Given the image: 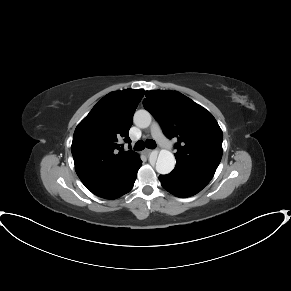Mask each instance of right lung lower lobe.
I'll list each match as a JSON object with an SVG mask.
<instances>
[{
    "instance_id": "98d812e1",
    "label": "right lung lower lobe",
    "mask_w": 291,
    "mask_h": 291,
    "mask_svg": "<svg viewBox=\"0 0 291 291\" xmlns=\"http://www.w3.org/2000/svg\"><path fill=\"white\" fill-rule=\"evenodd\" d=\"M142 165L141 159L138 157L134 165L131 167L130 170H128L126 173H124L122 176H120L116 181L96 187L93 189H89L93 194L96 196L105 198V199H116L127 192H129L136 180L137 172L139 168Z\"/></svg>"
}]
</instances>
